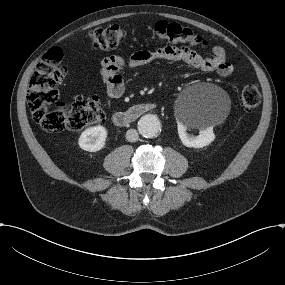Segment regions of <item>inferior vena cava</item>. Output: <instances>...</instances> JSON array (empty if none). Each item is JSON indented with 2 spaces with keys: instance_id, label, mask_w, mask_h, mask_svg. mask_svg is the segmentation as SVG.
<instances>
[{
  "instance_id": "inferior-vena-cava-1",
  "label": "inferior vena cava",
  "mask_w": 285,
  "mask_h": 285,
  "mask_svg": "<svg viewBox=\"0 0 285 285\" xmlns=\"http://www.w3.org/2000/svg\"><path fill=\"white\" fill-rule=\"evenodd\" d=\"M139 138L138 132L135 129H129L126 133V139L130 142H136Z\"/></svg>"
}]
</instances>
